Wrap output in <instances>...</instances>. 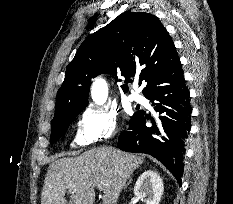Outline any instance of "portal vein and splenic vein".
<instances>
[{
    "label": "portal vein and splenic vein",
    "mask_w": 233,
    "mask_h": 204,
    "mask_svg": "<svg viewBox=\"0 0 233 204\" xmlns=\"http://www.w3.org/2000/svg\"><path fill=\"white\" fill-rule=\"evenodd\" d=\"M98 189L99 190H103V186L102 185H98Z\"/></svg>",
    "instance_id": "1"
}]
</instances>
